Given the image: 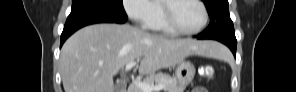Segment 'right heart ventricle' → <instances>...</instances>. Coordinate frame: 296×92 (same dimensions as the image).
I'll return each mask as SVG.
<instances>
[{
  "mask_svg": "<svg viewBox=\"0 0 296 92\" xmlns=\"http://www.w3.org/2000/svg\"><path fill=\"white\" fill-rule=\"evenodd\" d=\"M155 4L157 8L156 16L146 27L152 31L161 32L164 34H172L173 31H171L164 22L163 1H156Z\"/></svg>",
  "mask_w": 296,
  "mask_h": 92,
  "instance_id": "right-heart-ventricle-1",
  "label": "right heart ventricle"
}]
</instances>
